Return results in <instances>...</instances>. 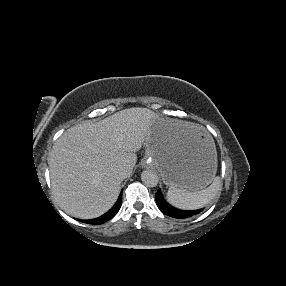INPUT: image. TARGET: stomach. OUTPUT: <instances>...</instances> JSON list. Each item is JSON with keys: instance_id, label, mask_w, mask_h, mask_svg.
<instances>
[{"instance_id": "0dacf381", "label": "stomach", "mask_w": 286, "mask_h": 286, "mask_svg": "<svg viewBox=\"0 0 286 286\" xmlns=\"http://www.w3.org/2000/svg\"><path fill=\"white\" fill-rule=\"evenodd\" d=\"M146 159L169 186L194 192L204 189L217 172V152L209 133L187 122H154L146 138Z\"/></svg>"}]
</instances>
